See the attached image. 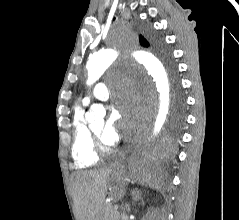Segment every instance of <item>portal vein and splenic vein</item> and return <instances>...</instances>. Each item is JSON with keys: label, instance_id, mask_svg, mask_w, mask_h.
<instances>
[{"label": "portal vein and splenic vein", "instance_id": "portal-vein-and-splenic-vein-1", "mask_svg": "<svg viewBox=\"0 0 239 220\" xmlns=\"http://www.w3.org/2000/svg\"><path fill=\"white\" fill-rule=\"evenodd\" d=\"M118 207H119L118 204H115V205H114V209H115V210H118Z\"/></svg>", "mask_w": 239, "mask_h": 220}]
</instances>
